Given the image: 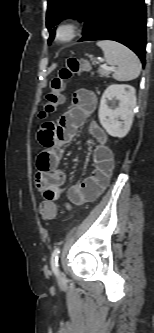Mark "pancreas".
I'll return each mask as SVG.
<instances>
[{
  "label": "pancreas",
  "instance_id": "pancreas-1",
  "mask_svg": "<svg viewBox=\"0 0 154 333\" xmlns=\"http://www.w3.org/2000/svg\"><path fill=\"white\" fill-rule=\"evenodd\" d=\"M98 74H99V76L100 77H109V75H110V71L109 70H106V69H102V68H100L99 70H98Z\"/></svg>",
  "mask_w": 154,
  "mask_h": 333
}]
</instances>
